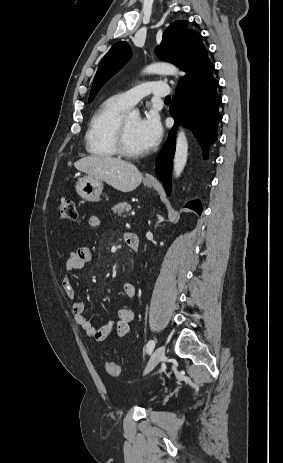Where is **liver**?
Instances as JSON below:
<instances>
[{
  "instance_id": "liver-1",
  "label": "liver",
  "mask_w": 283,
  "mask_h": 463,
  "mask_svg": "<svg viewBox=\"0 0 283 463\" xmlns=\"http://www.w3.org/2000/svg\"><path fill=\"white\" fill-rule=\"evenodd\" d=\"M74 166L78 171L100 179L121 192L133 191L143 179L136 166L110 156H87L76 161Z\"/></svg>"
}]
</instances>
